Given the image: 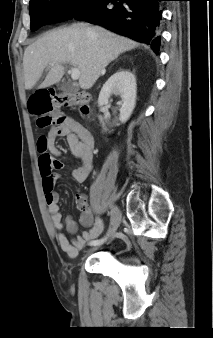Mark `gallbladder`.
<instances>
[{
	"label": "gallbladder",
	"instance_id": "bac80fb5",
	"mask_svg": "<svg viewBox=\"0 0 213 338\" xmlns=\"http://www.w3.org/2000/svg\"><path fill=\"white\" fill-rule=\"evenodd\" d=\"M60 89L66 92H73L76 90V88L73 85L68 84V83H63Z\"/></svg>",
	"mask_w": 213,
	"mask_h": 338
}]
</instances>
